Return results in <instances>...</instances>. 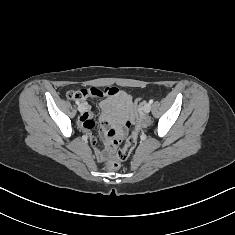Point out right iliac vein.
Masks as SVG:
<instances>
[{"instance_id": "right-iliac-vein-1", "label": "right iliac vein", "mask_w": 235, "mask_h": 235, "mask_svg": "<svg viewBox=\"0 0 235 235\" xmlns=\"http://www.w3.org/2000/svg\"><path fill=\"white\" fill-rule=\"evenodd\" d=\"M78 110H79V112L83 113L84 110H85L84 105H83V104H80V105L78 106Z\"/></svg>"}]
</instances>
